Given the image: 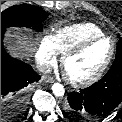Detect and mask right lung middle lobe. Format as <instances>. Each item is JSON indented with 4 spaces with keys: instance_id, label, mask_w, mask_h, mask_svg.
<instances>
[{
    "instance_id": "right-lung-middle-lobe-1",
    "label": "right lung middle lobe",
    "mask_w": 122,
    "mask_h": 122,
    "mask_svg": "<svg viewBox=\"0 0 122 122\" xmlns=\"http://www.w3.org/2000/svg\"><path fill=\"white\" fill-rule=\"evenodd\" d=\"M48 13L33 5H15L1 12V29L13 26L33 27L42 30V22Z\"/></svg>"
}]
</instances>
